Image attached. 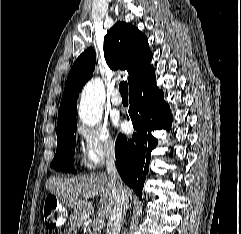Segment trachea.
Segmentation results:
<instances>
[{
    "label": "trachea",
    "mask_w": 241,
    "mask_h": 234,
    "mask_svg": "<svg viewBox=\"0 0 241 234\" xmlns=\"http://www.w3.org/2000/svg\"><path fill=\"white\" fill-rule=\"evenodd\" d=\"M119 90L122 97H128V84L126 81L120 83Z\"/></svg>",
    "instance_id": "3493384b"
}]
</instances>
